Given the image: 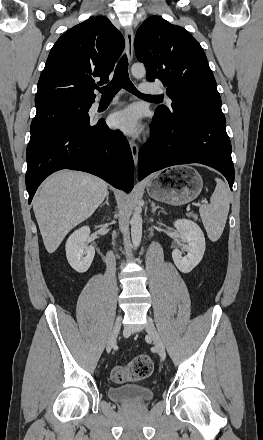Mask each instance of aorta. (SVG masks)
<instances>
[{
  "label": "aorta",
  "instance_id": "obj_1",
  "mask_svg": "<svg viewBox=\"0 0 263 440\" xmlns=\"http://www.w3.org/2000/svg\"><path fill=\"white\" fill-rule=\"evenodd\" d=\"M132 75L135 78H143L146 74V69L143 64L136 63L131 68ZM142 217L140 209L137 207L131 218V238L134 247H138L142 238Z\"/></svg>",
  "mask_w": 263,
  "mask_h": 440
}]
</instances>
